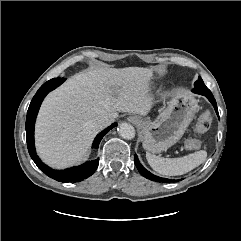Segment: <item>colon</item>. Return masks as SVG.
Wrapping results in <instances>:
<instances>
[{"label":"colon","instance_id":"obj_1","mask_svg":"<svg viewBox=\"0 0 241 241\" xmlns=\"http://www.w3.org/2000/svg\"><path fill=\"white\" fill-rule=\"evenodd\" d=\"M211 120V115L208 111L200 114L195 126L196 136L187 141V148L191 150L200 148L201 140L198 136L204 134L210 128Z\"/></svg>","mask_w":241,"mask_h":241}]
</instances>
